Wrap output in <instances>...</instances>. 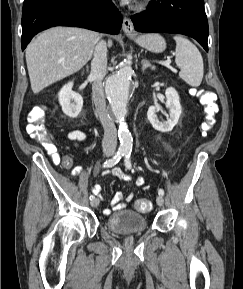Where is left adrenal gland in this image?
Wrapping results in <instances>:
<instances>
[{
    "instance_id": "left-adrenal-gland-1",
    "label": "left adrenal gland",
    "mask_w": 243,
    "mask_h": 289,
    "mask_svg": "<svg viewBox=\"0 0 243 289\" xmlns=\"http://www.w3.org/2000/svg\"><path fill=\"white\" fill-rule=\"evenodd\" d=\"M141 64H142V72L145 71V69L147 68H150V69H155V66L154 65H151L147 60L143 59L141 61Z\"/></svg>"
}]
</instances>
